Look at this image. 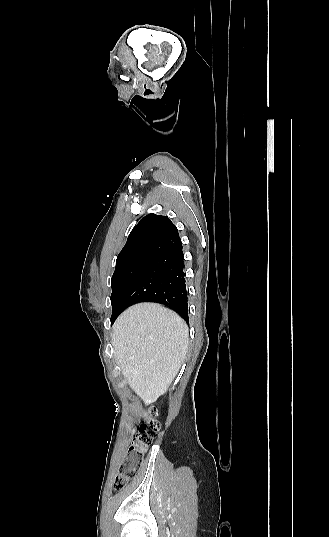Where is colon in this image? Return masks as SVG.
I'll return each mask as SVG.
<instances>
[{
    "mask_svg": "<svg viewBox=\"0 0 329 537\" xmlns=\"http://www.w3.org/2000/svg\"><path fill=\"white\" fill-rule=\"evenodd\" d=\"M154 413L155 410H152ZM159 422L153 417H147L139 426L138 433L131 441L127 451L119 464L113 480L114 491L123 490L126 485L135 478L142 464L146 451L155 434L159 430Z\"/></svg>",
    "mask_w": 329,
    "mask_h": 537,
    "instance_id": "5ec220e1",
    "label": "colon"
}]
</instances>
